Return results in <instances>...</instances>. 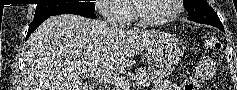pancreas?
<instances>
[{
  "mask_svg": "<svg viewBox=\"0 0 237 90\" xmlns=\"http://www.w3.org/2000/svg\"><path fill=\"white\" fill-rule=\"evenodd\" d=\"M136 76L139 80H146L145 84H152V82H160L169 74L167 70H164V67H157V70L155 68H138Z\"/></svg>",
  "mask_w": 237,
  "mask_h": 90,
  "instance_id": "1",
  "label": "pancreas"
}]
</instances>
